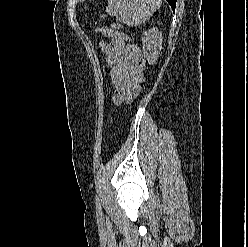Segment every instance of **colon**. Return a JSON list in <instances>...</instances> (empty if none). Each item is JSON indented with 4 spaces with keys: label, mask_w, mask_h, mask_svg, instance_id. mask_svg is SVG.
<instances>
[{
    "label": "colon",
    "mask_w": 248,
    "mask_h": 247,
    "mask_svg": "<svg viewBox=\"0 0 248 247\" xmlns=\"http://www.w3.org/2000/svg\"><path fill=\"white\" fill-rule=\"evenodd\" d=\"M95 31L101 35L110 37L112 39H117V40H122V41L130 40L127 36L117 33L116 31L108 27L98 26L95 28ZM137 51H138V54L136 57V66L138 67L139 70L143 71L145 69V59L139 47H137Z\"/></svg>",
    "instance_id": "obj_1"
}]
</instances>
